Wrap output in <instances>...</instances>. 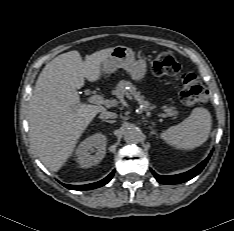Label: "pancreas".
<instances>
[{"label": "pancreas", "instance_id": "obj_1", "mask_svg": "<svg viewBox=\"0 0 234 231\" xmlns=\"http://www.w3.org/2000/svg\"><path fill=\"white\" fill-rule=\"evenodd\" d=\"M126 87L130 88L132 93L135 95V99L138 100L139 104L143 106L144 110H148V109L153 108L148 101L144 100V97L141 96L140 93L136 91L135 86L129 81L121 80L117 84L115 90L113 91V94L116 95L118 98H121L125 94L127 95L128 98H132L131 95H129L126 92ZM176 114H177V112L173 111L172 109H170V111L168 112L169 116H173Z\"/></svg>", "mask_w": 234, "mask_h": 231}]
</instances>
